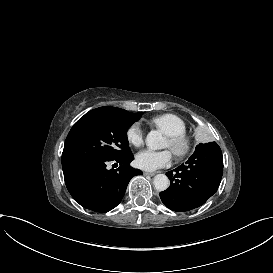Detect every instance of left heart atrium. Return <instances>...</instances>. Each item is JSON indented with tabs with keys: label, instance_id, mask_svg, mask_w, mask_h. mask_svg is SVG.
I'll list each match as a JSON object with an SVG mask.
<instances>
[{
	"label": "left heart atrium",
	"instance_id": "1",
	"mask_svg": "<svg viewBox=\"0 0 273 273\" xmlns=\"http://www.w3.org/2000/svg\"><path fill=\"white\" fill-rule=\"evenodd\" d=\"M171 149L154 150L144 148L140 150L136 156V164L138 168L146 171H154L158 168L165 167L172 162Z\"/></svg>",
	"mask_w": 273,
	"mask_h": 273
}]
</instances>
